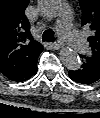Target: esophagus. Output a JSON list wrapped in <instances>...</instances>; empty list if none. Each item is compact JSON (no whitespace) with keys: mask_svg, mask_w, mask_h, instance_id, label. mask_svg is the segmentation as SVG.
Listing matches in <instances>:
<instances>
[{"mask_svg":"<svg viewBox=\"0 0 100 118\" xmlns=\"http://www.w3.org/2000/svg\"><path fill=\"white\" fill-rule=\"evenodd\" d=\"M50 45L55 50H58V49H60L62 47V44L59 43V42L51 43Z\"/></svg>","mask_w":100,"mask_h":118,"instance_id":"obj_1","label":"esophagus"}]
</instances>
